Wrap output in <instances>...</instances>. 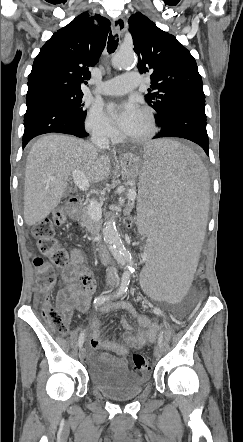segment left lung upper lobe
<instances>
[{
    "label": "left lung upper lobe",
    "instance_id": "obj_1",
    "mask_svg": "<svg viewBox=\"0 0 243 442\" xmlns=\"http://www.w3.org/2000/svg\"><path fill=\"white\" fill-rule=\"evenodd\" d=\"M128 22L139 58L137 68L140 73H151L152 85L146 101L156 110L157 123L178 98L204 94L202 78L194 57L173 35L159 29L141 13L132 15Z\"/></svg>",
    "mask_w": 243,
    "mask_h": 442
}]
</instances>
